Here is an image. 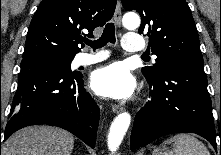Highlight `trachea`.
Segmentation results:
<instances>
[{
    "label": "trachea",
    "instance_id": "trachea-1",
    "mask_svg": "<svg viewBox=\"0 0 221 155\" xmlns=\"http://www.w3.org/2000/svg\"><path fill=\"white\" fill-rule=\"evenodd\" d=\"M115 26L113 23H108L104 31L102 33V36L95 41L85 39L84 43L91 46L93 50L101 48L105 46L107 43H115Z\"/></svg>",
    "mask_w": 221,
    "mask_h": 155
}]
</instances>
